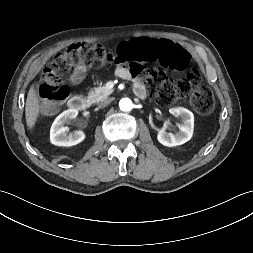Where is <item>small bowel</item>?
<instances>
[{
  "instance_id": "small-bowel-1",
  "label": "small bowel",
  "mask_w": 253,
  "mask_h": 253,
  "mask_svg": "<svg viewBox=\"0 0 253 253\" xmlns=\"http://www.w3.org/2000/svg\"><path fill=\"white\" fill-rule=\"evenodd\" d=\"M171 42V41H170ZM141 64V63H138ZM117 75L124 79H130L132 77V74L130 70L126 67H118L116 71ZM86 74V68L84 66H77L72 74L71 81L74 84L80 83ZM135 91L138 95H143L145 93V88L141 83H136L135 85Z\"/></svg>"
}]
</instances>
